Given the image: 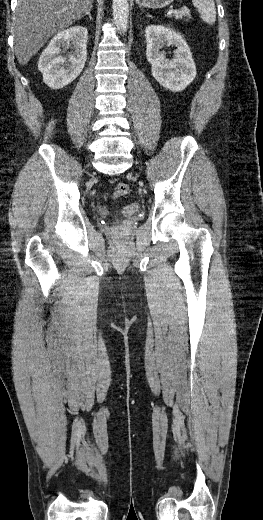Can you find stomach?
I'll use <instances>...</instances> for the list:
<instances>
[{"mask_svg":"<svg viewBox=\"0 0 263 520\" xmlns=\"http://www.w3.org/2000/svg\"><path fill=\"white\" fill-rule=\"evenodd\" d=\"M136 3L145 8H163L170 5L174 0H135Z\"/></svg>","mask_w":263,"mask_h":520,"instance_id":"stomach-1","label":"stomach"}]
</instances>
